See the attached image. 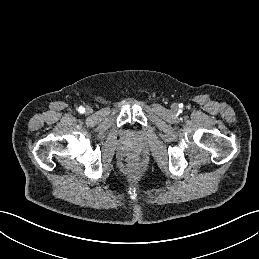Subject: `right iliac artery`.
Instances as JSON below:
<instances>
[{
	"mask_svg": "<svg viewBox=\"0 0 259 259\" xmlns=\"http://www.w3.org/2000/svg\"><path fill=\"white\" fill-rule=\"evenodd\" d=\"M78 111L83 114V113L85 112V108L82 107V106H80V107L78 108Z\"/></svg>",
	"mask_w": 259,
	"mask_h": 259,
	"instance_id": "1",
	"label": "right iliac artery"
}]
</instances>
